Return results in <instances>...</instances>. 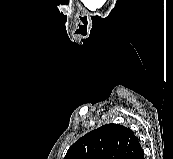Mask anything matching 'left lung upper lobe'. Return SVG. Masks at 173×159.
<instances>
[{"instance_id": "5c2ea615", "label": "left lung upper lobe", "mask_w": 173, "mask_h": 159, "mask_svg": "<svg viewBox=\"0 0 173 159\" xmlns=\"http://www.w3.org/2000/svg\"><path fill=\"white\" fill-rule=\"evenodd\" d=\"M141 149L129 128L106 124L78 139L64 159H134Z\"/></svg>"}]
</instances>
